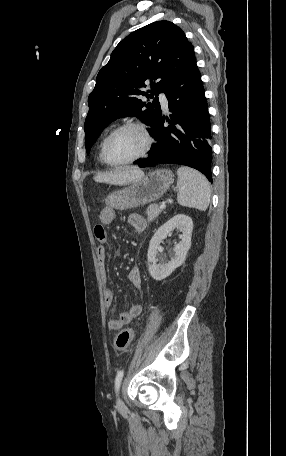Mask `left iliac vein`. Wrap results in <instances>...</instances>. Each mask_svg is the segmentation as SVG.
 <instances>
[{
    "label": "left iliac vein",
    "instance_id": "1",
    "mask_svg": "<svg viewBox=\"0 0 286 456\" xmlns=\"http://www.w3.org/2000/svg\"><path fill=\"white\" fill-rule=\"evenodd\" d=\"M116 405H117V408H119V409L124 408V403L119 397L117 398Z\"/></svg>",
    "mask_w": 286,
    "mask_h": 456
}]
</instances>
